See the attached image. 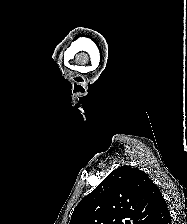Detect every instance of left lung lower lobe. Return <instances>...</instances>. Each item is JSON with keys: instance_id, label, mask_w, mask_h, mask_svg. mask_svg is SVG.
Returning <instances> with one entry per match:
<instances>
[{"instance_id": "0a47b994", "label": "left lung lower lobe", "mask_w": 187, "mask_h": 224, "mask_svg": "<svg viewBox=\"0 0 187 224\" xmlns=\"http://www.w3.org/2000/svg\"><path fill=\"white\" fill-rule=\"evenodd\" d=\"M149 224H171L170 212L164 198H162L160 207Z\"/></svg>"}]
</instances>
